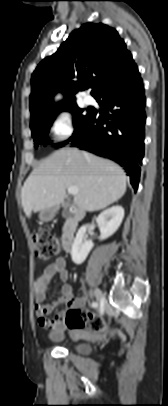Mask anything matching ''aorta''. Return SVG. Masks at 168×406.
Instances as JSON below:
<instances>
[{"mask_svg": "<svg viewBox=\"0 0 168 406\" xmlns=\"http://www.w3.org/2000/svg\"><path fill=\"white\" fill-rule=\"evenodd\" d=\"M60 98V96H57V99H59Z\"/></svg>", "mask_w": 168, "mask_h": 406, "instance_id": "aorta-1", "label": "aorta"}]
</instances>
